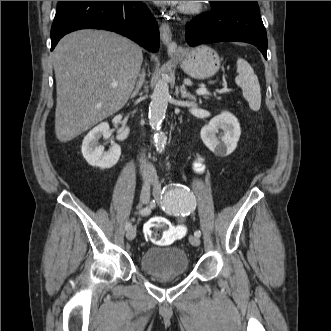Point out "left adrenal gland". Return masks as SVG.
Returning <instances> with one entry per match:
<instances>
[{"label": "left adrenal gland", "mask_w": 331, "mask_h": 331, "mask_svg": "<svg viewBox=\"0 0 331 331\" xmlns=\"http://www.w3.org/2000/svg\"><path fill=\"white\" fill-rule=\"evenodd\" d=\"M180 92H181L182 98H188L192 101H196V97L194 95L190 94V92H187L184 84H182V86L180 87Z\"/></svg>", "instance_id": "1"}]
</instances>
